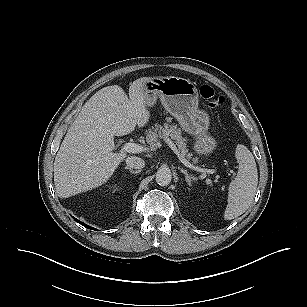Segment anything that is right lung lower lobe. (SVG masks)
Instances as JSON below:
<instances>
[{
    "instance_id": "obj_1",
    "label": "right lung lower lobe",
    "mask_w": 307,
    "mask_h": 307,
    "mask_svg": "<svg viewBox=\"0 0 307 307\" xmlns=\"http://www.w3.org/2000/svg\"><path fill=\"white\" fill-rule=\"evenodd\" d=\"M76 222H79L81 225H83L84 227H86V228H89V229H94L93 227H90V226H88V225H86L85 223H83V222H81V221H79L78 219H76V218H73Z\"/></svg>"
}]
</instances>
